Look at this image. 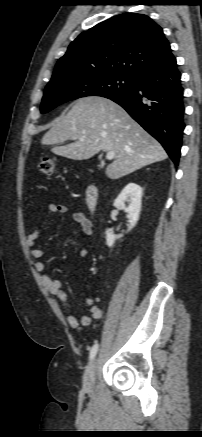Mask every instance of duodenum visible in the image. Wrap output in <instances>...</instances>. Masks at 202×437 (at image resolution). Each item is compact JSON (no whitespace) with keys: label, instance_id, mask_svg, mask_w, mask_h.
I'll return each instance as SVG.
<instances>
[{"label":"duodenum","instance_id":"410a0bca","mask_svg":"<svg viewBox=\"0 0 202 437\" xmlns=\"http://www.w3.org/2000/svg\"><path fill=\"white\" fill-rule=\"evenodd\" d=\"M85 204L88 210L93 214L98 205V189L95 185H89L85 191Z\"/></svg>","mask_w":202,"mask_h":437}]
</instances>
